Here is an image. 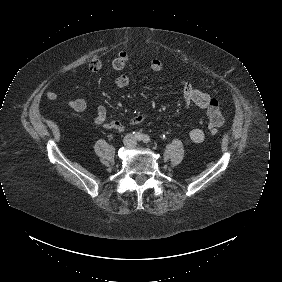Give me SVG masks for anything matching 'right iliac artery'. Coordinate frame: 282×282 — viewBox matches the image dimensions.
Returning <instances> with one entry per match:
<instances>
[{
  "label": "right iliac artery",
  "mask_w": 282,
  "mask_h": 282,
  "mask_svg": "<svg viewBox=\"0 0 282 282\" xmlns=\"http://www.w3.org/2000/svg\"><path fill=\"white\" fill-rule=\"evenodd\" d=\"M133 134H134V137H135L136 140H138V141L142 140L143 135L140 132H136V133L133 132Z\"/></svg>",
  "instance_id": "1"
}]
</instances>
